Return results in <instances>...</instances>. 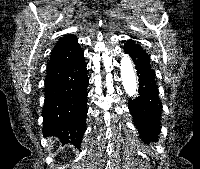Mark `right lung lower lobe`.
I'll return each instance as SVG.
<instances>
[{"instance_id":"1","label":"right lung lower lobe","mask_w":200,"mask_h":169,"mask_svg":"<svg viewBox=\"0 0 200 169\" xmlns=\"http://www.w3.org/2000/svg\"><path fill=\"white\" fill-rule=\"evenodd\" d=\"M88 77L83 51L73 60L47 69L43 134L63 144L80 145L87 115Z\"/></svg>"}]
</instances>
